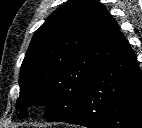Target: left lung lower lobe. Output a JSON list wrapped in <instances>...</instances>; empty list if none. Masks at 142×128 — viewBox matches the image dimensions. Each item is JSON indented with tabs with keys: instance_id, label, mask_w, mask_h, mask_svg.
<instances>
[{
	"instance_id": "obj_1",
	"label": "left lung lower lobe",
	"mask_w": 142,
	"mask_h": 128,
	"mask_svg": "<svg viewBox=\"0 0 142 128\" xmlns=\"http://www.w3.org/2000/svg\"><path fill=\"white\" fill-rule=\"evenodd\" d=\"M60 122L89 128H142V72L129 43L84 87Z\"/></svg>"
}]
</instances>
